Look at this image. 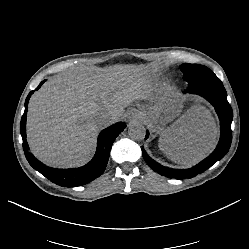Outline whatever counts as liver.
<instances>
[{
	"label": "liver",
	"instance_id": "liver-1",
	"mask_svg": "<svg viewBox=\"0 0 249 249\" xmlns=\"http://www.w3.org/2000/svg\"><path fill=\"white\" fill-rule=\"evenodd\" d=\"M155 81L158 78L151 77L148 69L133 65L49 78L28 104L27 141L31 152L51 167H80L90 159L102 129L99 116L110 115L113 124L132 102L149 99V104H138L134 109L135 119L160 132L159 145L171 150L172 161L192 165L205 158L219 137L211 111L194 105L170 127L163 128L165 118L178 115L182 105L171 103L173 88Z\"/></svg>",
	"mask_w": 249,
	"mask_h": 249
}]
</instances>
